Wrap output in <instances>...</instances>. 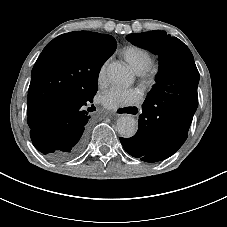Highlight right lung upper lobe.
<instances>
[{
	"label": "right lung upper lobe",
	"instance_id": "right-lung-upper-lobe-1",
	"mask_svg": "<svg viewBox=\"0 0 227 227\" xmlns=\"http://www.w3.org/2000/svg\"><path fill=\"white\" fill-rule=\"evenodd\" d=\"M112 43L116 41L110 35L76 31L56 37L44 48L32 69L28 90L31 130L42 129L61 100L86 92V67L74 58V49H101Z\"/></svg>",
	"mask_w": 227,
	"mask_h": 227
}]
</instances>
